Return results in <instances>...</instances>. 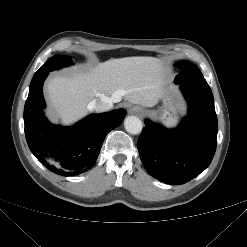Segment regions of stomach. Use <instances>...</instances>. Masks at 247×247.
<instances>
[{"label": "stomach", "instance_id": "0dacf381", "mask_svg": "<svg viewBox=\"0 0 247 247\" xmlns=\"http://www.w3.org/2000/svg\"><path fill=\"white\" fill-rule=\"evenodd\" d=\"M170 101H171V99H170ZM167 124H168V125H172V124H173V119L169 118V119L167 120Z\"/></svg>", "mask_w": 247, "mask_h": 247}]
</instances>
